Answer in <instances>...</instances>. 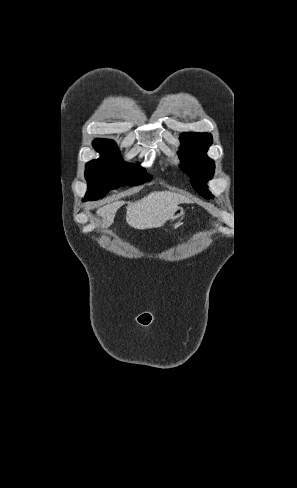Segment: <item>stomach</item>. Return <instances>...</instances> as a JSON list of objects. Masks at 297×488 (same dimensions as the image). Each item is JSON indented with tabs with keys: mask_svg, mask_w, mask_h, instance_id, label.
<instances>
[{
	"mask_svg": "<svg viewBox=\"0 0 297 488\" xmlns=\"http://www.w3.org/2000/svg\"><path fill=\"white\" fill-rule=\"evenodd\" d=\"M184 213H185L184 209L181 206H177L170 213L168 220L170 221L177 220L178 218H181L184 215Z\"/></svg>",
	"mask_w": 297,
	"mask_h": 488,
	"instance_id": "0dacf381",
	"label": "stomach"
}]
</instances>
